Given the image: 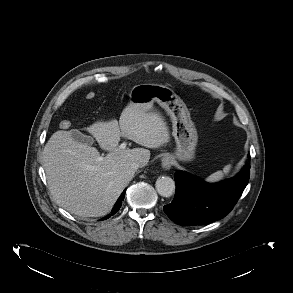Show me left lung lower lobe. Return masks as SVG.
I'll return each instance as SVG.
<instances>
[{"label":"left lung lower lobe","mask_w":293,"mask_h":293,"mask_svg":"<svg viewBox=\"0 0 293 293\" xmlns=\"http://www.w3.org/2000/svg\"><path fill=\"white\" fill-rule=\"evenodd\" d=\"M249 176V165L235 177L216 184L205 183L178 171L175 174V197L163 207L164 212L179 225H203L222 219L240 198Z\"/></svg>","instance_id":"left-lung-lower-lobe-1"}]
</instances>
